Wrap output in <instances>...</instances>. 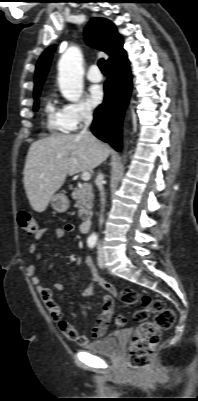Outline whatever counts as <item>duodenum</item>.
<instances>
[{
	"instance_id": "410a0bca",
	"label": "duodenum",
	"mask_w": 198,
	"mask_h": 401,
	"mask_svg": "<svg viewBox=\"0 0 198 401\" xmlns=\"http://www.w3.org/2000/svg\"><path fill=\"white\" fill-rule=\"evenodd\" d=\"M92 222H93V218L92 217H87L80 225L81 232L82 233H87L90 230Z\"/></svg>"
}]
</instances>
